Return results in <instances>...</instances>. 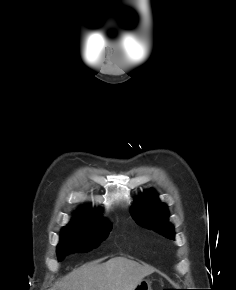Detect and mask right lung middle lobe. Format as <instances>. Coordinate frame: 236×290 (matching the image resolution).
Returning <instances> with one entry per match:
<instances>
[{
    "label": "right lung middle lobe",
    "instance_id": "obj_1",
    "mask_svg": "<svg viewBox=\"0 0 236 290\" xmlns=\"http://www.w3.org/2000/svg\"><path fill=\"white\" fill-rule=\"evenodd\" d=\"M112 225L105 221L88 223H70L64 227L57 248L58 259L61 261L66 254L87 252L104 240Z\"/></svg>",
    "mask_w": 236,
    "mask_h": 290
}]
</instances>
